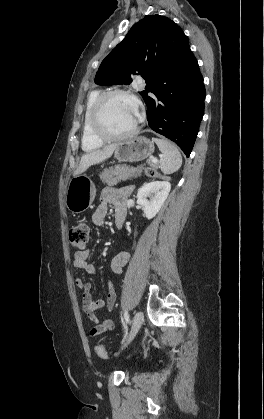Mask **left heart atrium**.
<instances>
[{
  "label": "left heart atrium",
  "mask_w": 264,
  "mask_h": 419,
  "mask_svg": "<svg viewBox=\"0 0 264 419\" xmlns=\"http://www.w3.org/2000/svg\"><path fill=\"white\" fill-rule=\"evenodd\" d=\"M137 117H139V109H138V107H137Z\"/></svg>",
  "instance_id": "1"
}]
</instances>
